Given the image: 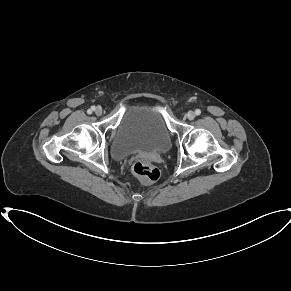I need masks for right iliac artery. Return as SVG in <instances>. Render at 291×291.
I'll list each match as a JSON object with an SVG mask.
<instances>
[{
  "label": "right iliac artery",
  "instance_id": "82829eb1",
  "mask_svg": "<svg viewBox=\"0 0 291 291\" xmlns=\"http://www.w3.org/2000/svg\"><path fill=\"white\" fill-rule=\"evenodd\" d=\"M94 110H95V107L92 106V107L87 111V113H88V114H91Z\"/></svg>",
  "mask_w": 291,
  "mask_h": 291
}]
</instances>
